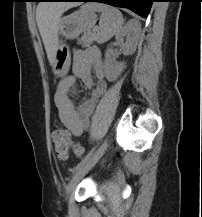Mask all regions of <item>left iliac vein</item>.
I'll list each match as a JSON object with an SVG mask.
<instances>
[{
  "label": "left iliac vein",
  "instance_id": "obj_1",
  "mask_svg": "<svg viewBox=\"0 0 202 217\" xmlns=\"http://www.w3.org/2000/svg\"><path fill=\"white\" fill-rule=\"evenodd\" d=\"M108 146V142L105 141L98 150L93 153L90 159L76 172V174L70 180L67 188L66 194L67 198L71 194V192L75 189L80 180L89 172V170L98 162V160L102 157L104 152L106 151Z\"/></svg>",
  "mask_w": 202,
  "mask_h": 217
}]
</instances>
